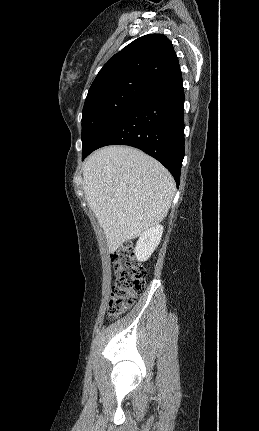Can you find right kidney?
<instances>
[{
    "label": "right kidney",
    "instance_id": "obj_1",
    "mask_svg": "<svg viewBox=\"0 0 259 431\" xmlns=\"http://www.w3.org/2000/svg\"><path fill=\"white\" fill-rule=\"evenodd\" d=\"M163 226L157 224L145 231L139 238L135 248L138 261H146L160 243Z\"/></svg>",
    "mask_w": 259,
    "mask_h": 431
}]
</instances>
